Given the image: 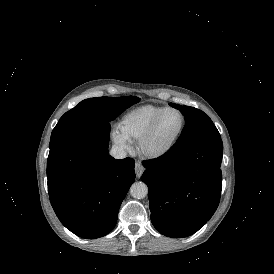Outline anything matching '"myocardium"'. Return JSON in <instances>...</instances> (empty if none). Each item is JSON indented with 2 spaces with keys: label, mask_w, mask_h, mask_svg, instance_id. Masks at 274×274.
Segmentation results:
<instances>
[{
  "label": "myocardium",
  "mask_w": 274,
  "mask_h": 274,
  "mask_svg": "<svg viewBox=\"0 0 274 274\" xmlns=\"http://www.w3.org/2000/svg\"><path fill=\"white\" fill-rule=\"evenodd\" d=\"M170 111H177L182 116V125L177 133V135L173 138V140L170 142V144L162 151L158 153H152L146 150L145 143L147 139L154 133L156 130L158 124L160 123L161 119L165 116L166 113ZM187 126V117L184 111L178 107H167L165 108L151 123L150 125L145 129V131L140 135V137L137 140L136 143V149L139 156L146 160L150 161H158L163 158H165L167 155H169L176 144L178 143L179 139L182 137L185 129Z\"/></svg>",
  "instance_id": "f54148a6"
}]
</instances>
